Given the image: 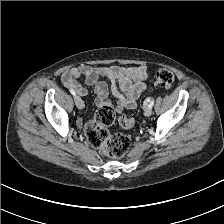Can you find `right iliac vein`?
Here are the masks:
<instances>
[{"mask_svg":"<svg viewBox=\"0 0 224 224\" xmlns=\"http://www.w3.org/2000/svg\"><path fill=\"white\" fill-rule=\"evenodd\" d=\"M75 104L79 109H83V107H84V102L82 101V99L79 96L75 97Z\"/></svg>","mask_w":224,"mask_h":224,"instance_id":"obj_1","label":"right iliac vein"}]
</instances>
